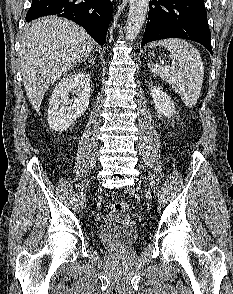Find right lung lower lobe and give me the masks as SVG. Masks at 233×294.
Segmentation results:
<instances>
[{"label": "right lung lower lobe", "mask_w": 233, "mask_h": 294, "mask_svg": "<svg viewBox=\"0 0 233 294\" xmlns=\"http://www.w3.org/2000/svg\"><path fill=\"white\" fill-rule=\"evenodd\" d=\"M57 15L72 20L100 45H104L112 15L110 0H32L26 21Z\"/></svg>", "instance_id": "1"}]
</instances>
